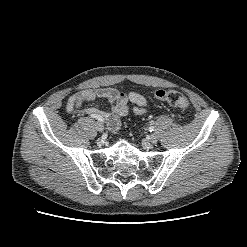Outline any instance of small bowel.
<instances>
[{"label":"small bowel","mask_w":247,"mask_h":247,"mask_svg":"<svg viewBox=\"0 0 247 247\" xmlns=\"http://www.w3.org/2000/svg\"><path fill=\"white\" fill-rule=\"evenodd\" d=\"M107 100L111 107L109 110H99L97 108H85L81 112L89 116L101 117L110 130H118L121 125V119L125 117L132 105V111L135 114L142 115L148 111V103L145 97L136 92L122 93L114 88H100L97 90H81L68 98L66 111L72 113L79 109L85 101L95 99Z\"/></svg>","instance_id":"1"}]
</instances>
